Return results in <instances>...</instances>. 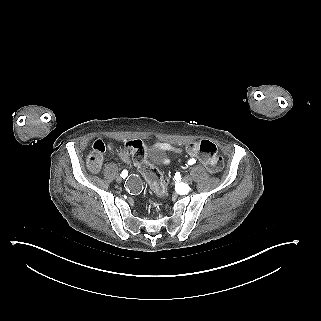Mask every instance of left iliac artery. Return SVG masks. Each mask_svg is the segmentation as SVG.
<instances>
[{"mask_svg":"<svg viewBox=\"0 0 321 321\" xmlns=\"http://www.w3.org/2000/svg\"><path fill=\"white\" fill-rule=\"evenodd\" d=\"M194 163H196V160H194V159H190V160L188 161V164H189V165H192V164H194Z\"/></svg>","mask_w":321,"mask_h":321,"instance_id":"1","label":"left iliac artery"}]
</instances>
